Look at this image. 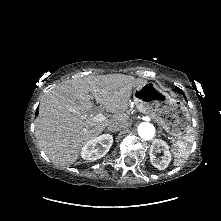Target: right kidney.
<instances>
[{"label": "right kidney", "mask_w": 221, "mask_h": 221, "mask_svg": "<svg viewBox=\"0 0 221 221\" xmlns=\"http://www.w3.org/2000/svg\"><path fill=\"white\" fill-rule=\"evenodd\" d=\"M113 143V137L110 134H103L89 140L82 147L81 156L85 160L94 161L105 156Z\"/></svg>", "instance_id": "obj_1"}]
</instances>
